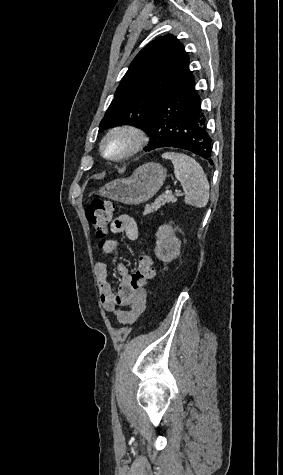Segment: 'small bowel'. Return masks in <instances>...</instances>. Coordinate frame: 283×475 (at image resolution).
Returning <instances> with one entry per match:
<instances>
[{
  "label": "small bowel",
  "mask_w": 283,
  "mask_h": 475,
  "mask_svg": "<svg viewBox=\"0 0 283 475\" xmlns=\"http://www.w3.org/2000/svg\"><path fill=\"white\" fill-rule=\"evenodd\" d=\"M106 230L109 232H123L129 241H135L138 237L137 224L129 215L118 216L113 223L106 225ZM118 245L117 240H108L103 247L104 254H111L118 248ZM116 270L122 280L117 291L112 288L107 279V264L102 261L95 264L94 273L100 300L103 308L115 315L116 322L119 325H131L145 312L148 304V292L147 289L146 291H132L129 287L132 274L124 264L116 263Z\"/></svg>",
  "instance_id": "1"
}]
</instances>
